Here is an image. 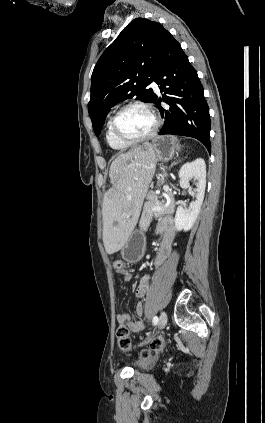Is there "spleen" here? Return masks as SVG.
<instances>
[{
    "mask_svg": "<svg viewBox=\"0 0 265 423\" xmlns=\"http://www.w3.org/2000/svg\"><path fill=\"white\" fill-rule=\"evenodd\" d=\"M177 150H178V151L180 150V146H179V145H177Z\"/></svg>",
    "mask_w": 265,
    "mask_h": 423,
    "instance_id": "1",
    "label": "spleen"
}]
</instances>
